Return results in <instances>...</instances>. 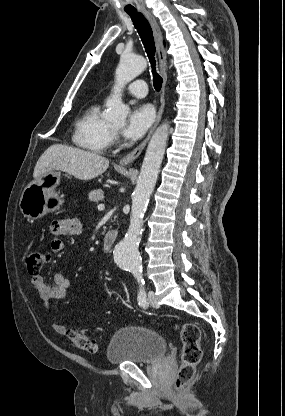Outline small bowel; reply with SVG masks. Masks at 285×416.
I'll return each instance as SVG.
<instances>
[{"mask_svg": "<svg viewBox=\"0 0 285 416\" xmlns=\"http://www.w3.org/2000/svg\"><path fill=\"white\" fill-rule=\"evenodd\" d=\"M82 222L78 217L64 216L55 220L50 226V233L53 236L50 242V250L52 253H60L64 249L62 236L78 235L82 232ZM32 286L37 290L39 299L44 304L45 308L49 310L53 300H59L65 297L69 287L70 280L61 273H57L53 277V282H46L41 275L33 276L31 279ZM52 329L59 335H66L68 330L65 326L50 319Z\"/></svg>", "mask_w": 285, "mask_h": 416, "instance_id": "1", "label": "small bowel"}]
</instances>
